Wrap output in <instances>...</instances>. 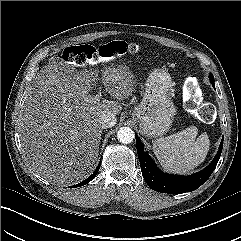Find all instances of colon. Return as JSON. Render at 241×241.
<instances>
[{
  "instance_id": "5ec220e1",
  "label": "colon",
  "mask_w": 241,
  "mask_h": 241,
  "mask_svg": "<svg viewBox=\"0 0 241 241\" xmlns=\"http://www.w3.org/2000/svg\"><path fill=\"white\" fill-rule=\"evenodd\" d=\"M137 51V46L124 41H113L101 46L80 45L68 47L62 54L66 63L84 67L106 62L113 58L122 56L127 52ZM184 104L186 109L194 116L203 121L213 120L214 109L211 105L204 104L200 93V87L196 80H190L184 89Z\"/></svg>"
}]
</instances>
